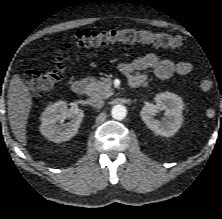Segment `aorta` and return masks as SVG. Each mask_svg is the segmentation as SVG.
<instances>
[{
    "instance_id": "1",
    "label": "aorta",
    "mask_w": 222,
    "mask_h": 219,
    "mask_svg": "<svg viewBox=\"0 0 222 219\" xmlns=\"http://www.w3.org/2000/svg\"><path fill=\"white\" fill-rule=\"evenodd\" d=\"M111 115L116 120H122L126 117L127 110L125 106L118 104V105L113 106Z\"/></svg>"
}]
</instances>
